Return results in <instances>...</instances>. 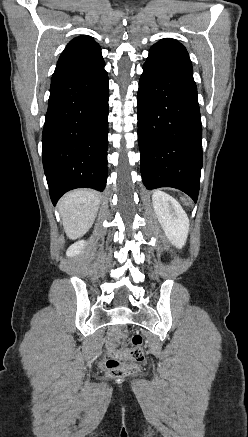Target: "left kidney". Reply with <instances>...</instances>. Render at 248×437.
Wrapping results in <instances>:
<instances>
[{
	"label": "left kidney",
	"instance_id": "1",
	"mask_svg": "<svg viewBox=\"0 0 248 437\" xmlns=\"http://www.w3.org/2000/svg\"><path fill=\"white\" fill-rule=\"evenodd\" d=\"M152 202L167 238L177 248H182L187 240L190 225L187 214L174 198L162 191L153 193Z\"/></svg>",
	"mask_w": 248,
	"mask_h": 437
}]
</instances>
